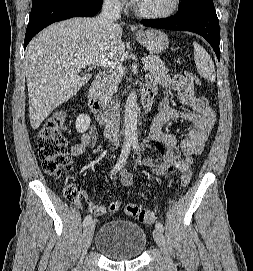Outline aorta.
Listing matches in <instances>:
<instances>
[{"label":"aorta","instance_id":"aorta-1","mask_svg":"<svg viewBox=\"0 0 253 271\" xmlns=\"http://www.w3.org/2000/svg\"><path fill=\"white\" fill-rule=\"evenodd\" d=\"M138 102L135 91H131L125 103L124 136L127 141L138 140Z\"/></svg>","mask_w":253,"mask_h":271}]
</instances>
